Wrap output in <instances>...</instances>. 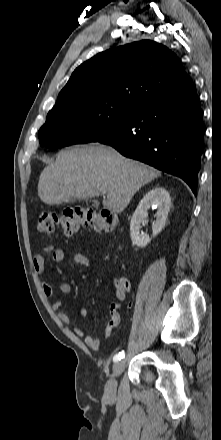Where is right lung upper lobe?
Wrapping results in <instances>:
<instances>
[{
    "mask_svg": "<svg viewBox=\"0 0 221 440\" xmlns=\"http://www.w3.org/2000/svg\"><path fill=\"white\" fill-rule=\"evenodd\" d=\"M190 84L177 56L143 40L95 55L72 73L52 109L71 104L117 103L136 108Z\"/></svg>",
    "mask_w": 221,
    "mask_h": 440,
    "instance_id": "obj_1",
    "label": "right lung upper lobe"
}]
</instances>
